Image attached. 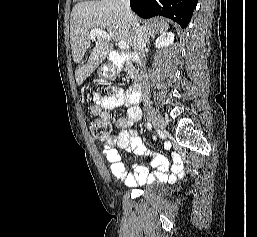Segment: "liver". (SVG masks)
<instances>
[{
  "mask_svg": "<svg viewBox=\"0 0 257 237\" xmlns=\"http://www.w3.org/2000/svg\"><path fill=\"white\" fill-rule=\"evenodd\" d=\"M137 20V18H136ZM101 29L115 42L124 41L133 46V31L124 18L120 0H101L97 2H79L75 4L70 19V43L73 60L78 67L75 78L78 85L89 77L113 49L110 41L102 37L95 38V45L87 62L83 58L91 48V30ZM145 32L163 33L169 29L164 19L150 21L143 26Z\"/></svg>",
  "mask_w": 257,
  "mask_h": 237,
  "instance_id": "6515ba94",
  "label": "liver"
}]
</instances>
